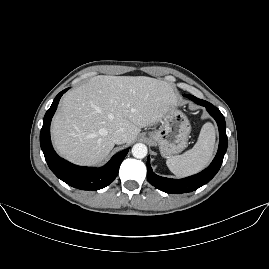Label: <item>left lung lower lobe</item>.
<instances>
[{"label":"left lung lower lobe","mask_w":269,"mask_h":269,"mask_svg":"<svg viewBox=\"0 0 269 269\" xmlns=\"http://www.w3.org/2000/svg\"><path fill=\"white\" fill-rule=\"evenodd\" d=\"M190 99L195 103L206 107L210 115L216 120L219 128V148L212 163L202 172L183 179H170L156 175L150 166V158L147 159V178L148 181L161 191L166 193H187L192 192L208 183L219 171L224 155L227 150L226 123L224 116L218 108L211 103L191 96Z\"/></svg>","instance_id":"0a47b994"}]
</instances>
